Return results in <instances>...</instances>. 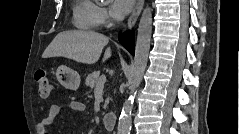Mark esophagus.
I'll use <instances>...</instances> for the list:
<instances>
[{
	"mask_svg": "<svg viewBox=\"0 0 239 134\" xmlns=\"http://www.w3.org/2000/svg\"><path fill=\"white\" fill-rule=\"evenodd\" d=\"M143 5H144V0H138L137 1L136 5H135V8H134V10H133L132 14L130 15V17L128 19V22H127V27L129 29L132 28L135 25L140 13H141V10L143 8Z\"/></svg>",
	"mask_w": 239,
	"mask_h": 134,
	"instance_id": "esophagus-1",
	"label": "esophagus"
}]
</instances>
